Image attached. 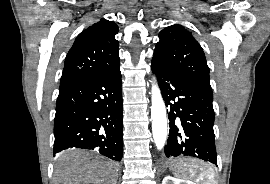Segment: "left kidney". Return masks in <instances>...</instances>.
I'll use <instances>...</instances> for the list:
<instances>
[{"label": "left kidney", "instance_id": "obj_1", "mask_svg": "<svg viewBox=\"0 0 270 184\" xmlns=\"http://www.w3.org/2000/svg\"><path fill=\"white\" fill-rule=\"evenodd\" d=\"M162 184H194V183L191 181H187V180L176 179V178L171 177V176H166L163 179Z\"/></svg>", "mask_w": 270, "mask_h": 184}]
</instances>
